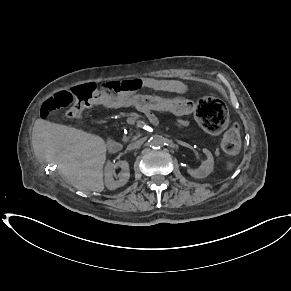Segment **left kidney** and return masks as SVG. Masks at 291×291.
Listing matches in <instances>:
<instances>
[{
  "mask_svg": "<svg viewBox=\"0 0 291 291\" xmlns=\"http://www.w3.org/2000/svg\"><path fill=\"white\" fill-rule=\"evenodd\" d=\"M203 153L206 155L207 159L202 162L197 169H188L187 172L194 178H204L207 177L214 168V159L212 153L204 148Z\"/></svg>",
  "mask_w": 291,
  "mask_h": 291,
  "instance_id": "left-kidney-1",
  "label": "left kidney"
}]
</instances>
